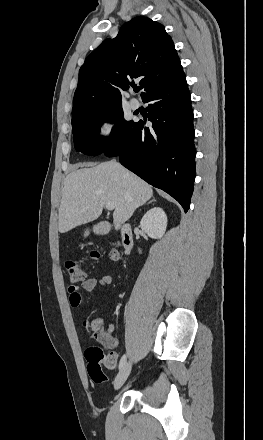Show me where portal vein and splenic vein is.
I'll return each mask as SVG.
<instances>
[{
  "mask_svg": "<svg viewBox=\"0 0 263 440\" xmlns=\"http://www.w3.org/2000/svg\"><path fill=\"white\" fill-rule=\"evenodd\" d=\"M105 206L108 210H113L115 208V205L112 202H107Z\"/></svg>",
  "mask_w": 263,
  "mask_h": 440,
  "instance_id": "18ae733b",
  "label": "portal vein and splenic vein"
}]
</instances>
